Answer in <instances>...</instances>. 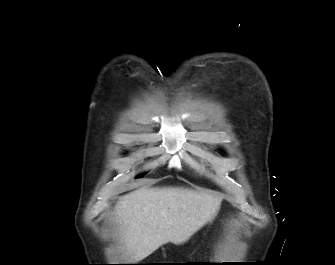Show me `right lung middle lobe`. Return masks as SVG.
Segmentation results:
<instances>
[{"label":"right lung middle lobe","mask_w":335,"mask_h":265,"mask_svg":"<svg viewBox=\"0 0 335 265\" xmlns=\"http://www.w3.org/2000/svg\"><path fill=\"white\" fill-rule=\"evenodd\" d=\"M144 176V174L143 175H140V176H138V177H143Z\"/></svg>","instance_id":"1"}]
</instances>
